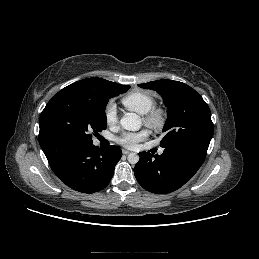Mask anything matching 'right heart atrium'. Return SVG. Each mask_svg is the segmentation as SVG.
I'll use <instances>...</instances> for the list:
<instances>
[{"label": "right heart atrium", "instance_id": "obj_1", "mask_svg": "<svg viewBox=\"0 0 259 259\" xmlns=\"http://www.w3.org/2000/svg\"><path fill=\"white\" fill-rule=\"evenodd\" d=\"M106 122L109 125H114L117 122L118 113L115 103L110 100L107 102L104 111Z\"/></svg>", "mask_w": 259, "mask_h": 259}]
</instances>
